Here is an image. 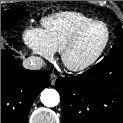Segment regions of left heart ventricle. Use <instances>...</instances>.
<instances>
[{
	"instance_id": "left-heart-ventricle-1",
	"label": "left heart ventricle",
	"mask_w": 123,
	"mask_h": 123,
	"mask_svg": "<svg viewBox=\"0 0 123 123\" xmlns=\"http://www.w3.org/2000/svg\"><path fill=\"white\" fill-rule=\"evenodd\" d=\"M106 38L105 28L95 25L88 29L71 50L68 60L71 64L79 65L91 59L100 49Z\"/></svg>"
}]
</instances>
